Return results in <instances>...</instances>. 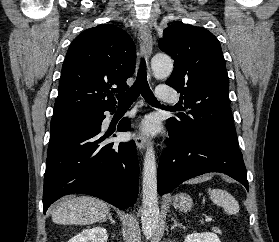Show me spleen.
Segmentation results:
<instances>
[{
	"label": "spleen",
	"mask_w": 279,
	"mask_h": 242,
	"mask_svg": "<svg viewBox=\"0 0 279 242\" xmlns=\"http://www.w3.org/2000/svg\"><path fill=\"white\" fill-rule=\"evenodd\" d=\"M211 201L224 208L226 213L233 215L239 212V204L236 199L226 190L208 189Z\"/></svg>",
	"instance_id": "3e777b00"
}]
</instances>
